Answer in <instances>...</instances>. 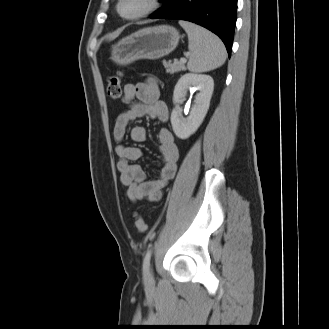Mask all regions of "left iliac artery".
Here are the masks:
<instances>
[{"label":"left iliac artery","instance_id":"44dca946","mask_svg":"<svg viewBox=\"0 0 329 329\" xmlns=\"http://www.w3.org/2000/svg\"><path fill=\"white\" fill-rule=\"evenodd\" d=\"M151 255H152V248L147 250V252L145 254V257H144V260H143V272H144V274H148Z\"/></svg>","mask_w":329,"mask_h":329}]
</instances>
